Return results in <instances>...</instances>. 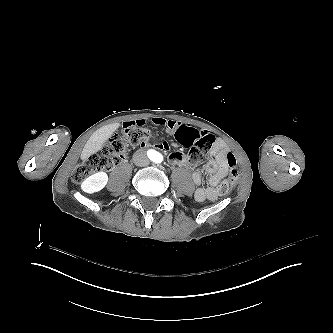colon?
<instances>
[{"label":"colon","mask_w":333,"mask_h":333,"mask_svg":"<svg viewBox=\"0 0 333 333\" xmlns=\"http://www.w3.org/2000/svg\"><path fill=\"white\" fill-rule=\"evenodd\" d=\"M121 134L109 137L102 146L101 154H93L83 163L73 170L72 180L81 181L86 177L108 170L116 166L123 160L127 154L128 145H143L150 140V133L143 128L123 129ZM176 140L190 147V159L192 162H198L208 154L213 140L211 137H202L192 130H177ZM227 163L230 168L228 184L222 185L220 190L227 192L230 187L234 186L239 178V168L233 155L227 153Z\"/></svg>","instance_id":"5ec220e1"}]
</instances>
